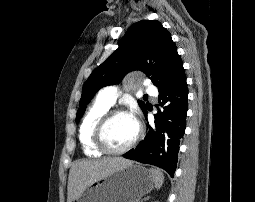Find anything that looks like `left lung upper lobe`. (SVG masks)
Instances as JSON below:
<instances>
[{"mask_svg": "<svg viewBox=\"0 0 255 202\" xmlns=\"http://www.w3.org/2000/svg\"><path fill=\"white\" fill-rule=\"evenodd\" d=\"M133 70L144 72L159 90L170 86L184 71L170 33L157 20H142L130 26L119 47L91 73L83 86L76 122L100 88L119 83L126 72ZM138 103L145 112V104Z\"/></svg>", "mask_w": 255, "mask_h": 202, "instance_id": "left-lung-upper-lobe-1", "label": "left lung upper lobe"}]
</instances>
